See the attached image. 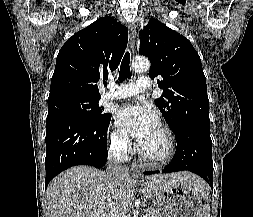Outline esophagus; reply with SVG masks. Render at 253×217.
Returning a JSON list of instances; mask_svg holds the SVG:
<instances>
[{
	"instance_id": "obj_1",
	"label": "esophagus",
	"mask_w": 253,
	"mask_h": 217,
	"mask_svg": "<svg viewBox=\"0 0 253 217\" xmlns=\"http://www.w3.org/2000/svg\"><path fill=\"white\" fill-rule=\"evenodd\" d=\"M128 29H129V50H130V53L133 54L134 47H135V41H136V26H135V24L129 23ZM132 175L134 178L139 177V173L136 172L135 170H133Z\"/></svg>"
}]
</instances>
